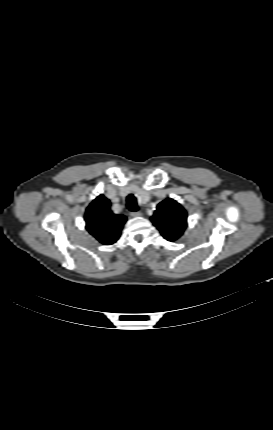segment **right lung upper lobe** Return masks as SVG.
Wrapping results in <instances>:
<instances>
[{
	"mask_svg": "<svg viewBox=\"0 0 273 430\" xmlns=\"http://www.w3.org/2000/svg\"><path fill=\"white\" fill-rule=\"evenodd\" d=\"M110 206V201L100 195L92 201L85 212L86 229L105 245L116 242L126 222V217L114 214Z\"/></svg>",
	"mask_w": 273,
	"mask_h": 430,
	"instance_id": "obj_1",
	"label": "right lung upper lobe"
}]
</instances>
